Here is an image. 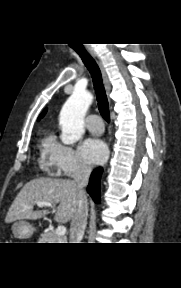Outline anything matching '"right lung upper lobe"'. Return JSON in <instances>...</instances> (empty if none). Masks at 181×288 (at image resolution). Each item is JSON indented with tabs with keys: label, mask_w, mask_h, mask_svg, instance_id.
Returning <instances> with one entry per match:
<instances>
[{
	"label": "right lung upper lobe",
	"mask_w": 181,
	"mask_h": 288,
	"mask_svg": "<svg viewBox=\"0 0 181 288\" xmlns=\"http://www.w3.org/2000/svg\"><path fill=\"white\" fill-rule=\"evenodd\" d=\"M46 111H47V110L45 109V110L41 113V115L39 116L38 120L41 119V118L44 116V114L46 113Z\"/></svg>",
	"instance_id": "obj_1"
}]
</instances>
